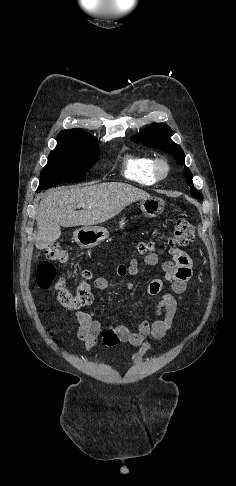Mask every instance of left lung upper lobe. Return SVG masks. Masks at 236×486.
<instances>
[{
  "mask_svg": "<svg viewBox=\"0 0 236 486\" xmlns=\"http://www.w3.org/2000/svg\"><path fill=\"white\" fill-rule=\"evenodd\" d=\"M170 127L166 124H152L142 133L132 138L136 143H142L147 147L157 148L166 153H171L177 162L181 165L185 164V155L179 145L174 143L171 139ZM185 177L187 184L191 187V195L199 200H202L201 194L194 188L191 171L185 166Z\"/></svg>",
  "mask_w": 236,
  "mask_h": 486,
  "instance_id": "5c2ea615",
  "label": "left lung upper lobe"
}]
</instances>
